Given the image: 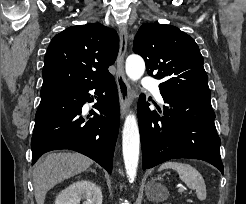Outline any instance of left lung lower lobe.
Listing matches in <instances>:
<instances>
[{
	"label": "left lung lower lobe",
	"mask_w": 246,
	"mask_h": 204,
	"mask_svg": "<svg viewBox=\"0 0 246 204\" xmlns=\"http://www.w3.org/2000/svg\"><path fill=\"white\" fill-rule=\"evenodd\" d=\"M161 95L167 104L163 117L149 110L143 95L138 102L143 169L190 158L209 162L223 173L210 94L161 91Z\"/></svg>",
	"instance_id": "left-lung-lower-lobe-1"
}]
</instances>
